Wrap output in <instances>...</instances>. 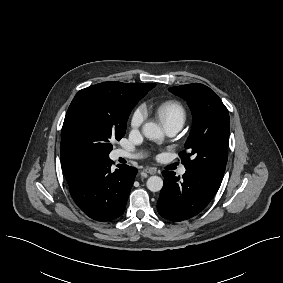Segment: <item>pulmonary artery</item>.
<instances>
[{
  "instance_id": "obj_1",
  "label": "pulmonary artery",
  "mask_w": 283,
  "mask_h": 283,
  "mask_svg": "<svg viewBox=\"0 0 283 283\" xmlns=\"http://www.w3.org/2000/svg\"><path fill=\"white\" fill-rule=\"evenodd\" d=\"M165 127V131L166 134L168 136H174L176 135L182 128V125L179 123H169L167 125L164 126ZM139 155L137 154H131L125 150L119 149L115 152V157L116 158H136ZM186 172L185 168H181L179 170L180 175H183Z\"/></svg>"
}]
</instances>
